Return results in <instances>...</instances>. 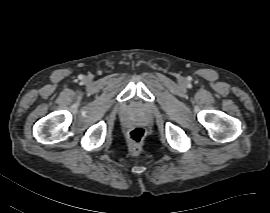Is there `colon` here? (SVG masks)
I'll use <instances>...</instances> for the list:
<instances>
[{"mask_svg": "<svg viewBox=\"0 0 270 213\" xmlns=\"http://www.w3.org/2000/svg\"><path fill=\"white\" fill-rule=\"evenodd\" d=\"M146 131L142 127H136L129 132L128 139L134 154H137L145 140Z\"/></svg>", "mask_w": 270, "mask_h": 213, "instance_id": "5ec220e1", "label": "colon"}]
</instances>
